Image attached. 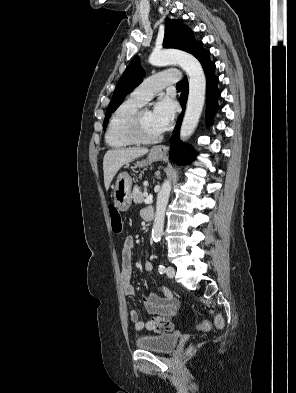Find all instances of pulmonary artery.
<instances>
[{
    "label": "pulmonary artery",
    "instance_id": "e3ab8cb5",
    "mask_svg": "<svg viewBox=\"0 0 296 393\" xmlns=\"http://www.w3.org/2000/svg\"><path fill=\"white\" fill-rule=\"evenodd\" d=\"M178 81L179 77L176 70L153 74L131 92L129 99L142 106L164 87Z\"/></svg>",
    "mask_w": 296,
    "mask_h": 393
}]
</instances>
